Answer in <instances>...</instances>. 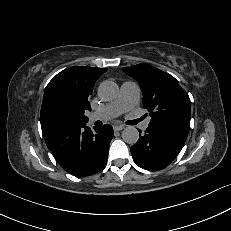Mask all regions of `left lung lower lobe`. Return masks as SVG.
Here are the masks:
<instances>
[{
	"label": "left lung lower lobe",
	"instance_id": "left-lung-lower-lobe-1",
	"mask_svg": "<svg viewBox=\"0 0 231 231\" xmlns=\"http://www.w3.org/2000/svg\"><path fill=\"white\" fill-rule=\"evenodd\" d=\"M188 132L167 124L149 123L145 134L130 148L134 162L151 171L165 168L179 154Z\"/></svg>",
	"mask_w": 231,
	"mask_h": 231
}]
</instances>
